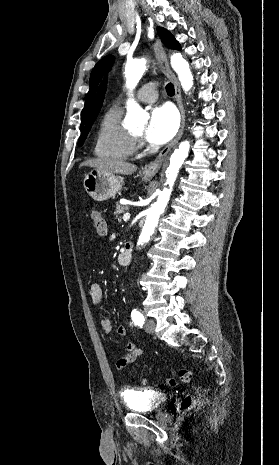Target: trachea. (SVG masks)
<instances>
[{
  "label": "trachea",
  "mask_w": 279,
  "mask_h": 465,
  "mask_svg": "<svg viewBox=\"0 0 279 465\" xmlns=\"http://www.w3.org/2000/svg\"><path fill=\"white\" fill-rule=\"evenodd\" d=\"M166 91L169 96H173L175 93L174 85L172 83L167 84Z\"/></svg>",
  "instance_id": "3493384b"
}]
</instances>
